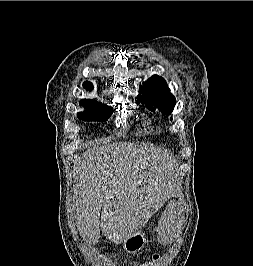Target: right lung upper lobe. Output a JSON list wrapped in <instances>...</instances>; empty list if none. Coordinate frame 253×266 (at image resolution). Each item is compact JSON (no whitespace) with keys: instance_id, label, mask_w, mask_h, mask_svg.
Instances as JSON below:
<instances>
[{"instance_id":"right-lung-upper-lobe-1","label":"right lung upper lobe","mask_w":253,"mask_h":266,"mask_svg":"<svg viewBox=\"0 0 253 266\" xmlns=\"http://www.w3.org/2000/svg\"><path fill=\"white\" fill-rule=\"evenodd\" d=\"M83 86L87 90H92L93 89L92 83L91 82H88V81L84 82ZM93 103H97V102H91V101H87V100H82L81 101V104L82 105H88V104H93Z\"/></svg>"}]
</instances>
